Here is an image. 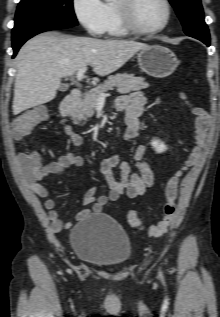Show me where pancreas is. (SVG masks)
<instances>
[{
    "mask_svg": "<svg viewBox=\"0 0 220 317\" xmlns=\"http://www.w3.org/2000/svg\"><path fill=\"white\" fill-rule=\"evenodd\" d=\"M148 86L149 84L144 81L143 77H135L133 74L118 73L109 76L102 84L85 93L73 115L74 123L79 124V121L87 120V118L94 115V109L101 93L113 90L114 87L117 88L119 93H129L145 89Z\"/></svg>",
    "mask_w": 220,
    "mask_h": 317,
    "instance_id": "pancreas-1",
    "label": "pancreas"
}]
</instances>
